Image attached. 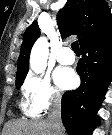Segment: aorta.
I'll use <instances>...</instances> for the list:
<instances>
[{
  "instance_id": "1",
  "label": "aorta",
  "mask_w": 112,
  "mask_h": 135,
  "mask_svg": "<svg viewBox=\"0 0 112 135\" xmlns=\"http://www.w3.org/2000/svg\"><path fill=\"white\" fill-rule=\"evenodd\" d=\"M49 55L48 42L45 37L39 38L34 44L30 54V68L36 74H42L47 65Z\"/></svg>"
}]
</instances>
